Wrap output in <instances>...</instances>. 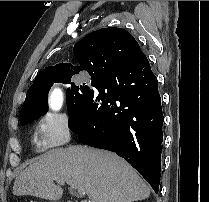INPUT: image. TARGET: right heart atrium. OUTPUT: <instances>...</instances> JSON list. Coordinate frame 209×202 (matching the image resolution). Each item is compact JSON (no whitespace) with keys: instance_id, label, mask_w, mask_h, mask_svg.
Returning <instances> with one entry per match:
<instances>
[{"instance_id":"right-heart-atrium-1","label":"right heart atrium","mask_w":209,"mask_h":202,"mask_svg":"<svg viewBox=\"0 0 209 202\" xmlns=\"http://www.w3.org/2000/svg\"><path fill=\"white\" fill-rule=\"evenodd\" d=\"M35 138L40 151L65 145L71 139L68 117L53 113L40 116L35 125Z\"/></svg>"}]
</instances>
